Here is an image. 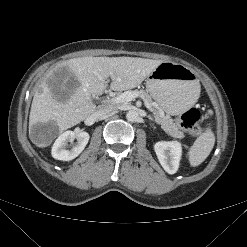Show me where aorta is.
Returning <instances> with one entry per match:
<instances>
[{"label": "aorta", "instance_id": "aorta-1", "mask_svg": "<svg viewBox=\"0 0 247 247\" xmlns=\"http://www.w3.org/2000/svg\"><path fill=\"white\" fill-rule=\"evenodd\" d=\"M139 118V114L136 110H129L127 113H126V119L129 121V122H136Z\"/></svg>", "mask_w": 247, "mask_h": 247}]
</instances>
